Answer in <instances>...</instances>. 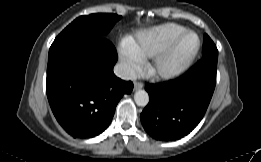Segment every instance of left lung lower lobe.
<instances>
[{
	"instance_id": "0a47b994",
	"label": "left lung lower lobe",
	"mask_w": 261,
	"mask_h": 162,
	"mask_svg": "<svg viewBox=\"0 0 261 162\" xmlns=\"http://www.w3.org/2000/svg\"><path fill=\"white\" fill-rule=\"evenodd\" d=\"M218 56H203L177 79L145 84L150 102L140 115L146 132L156 140L188 135L204 117L212 98Z\"/></svg>"
}]
</instances>
